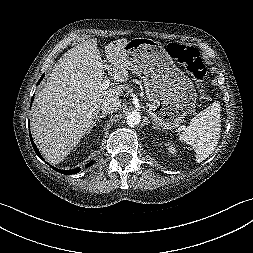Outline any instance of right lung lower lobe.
<instances>
[{
    "instance_id": "obj_1",
    "label": "right lung lower lobe",
    "mask_w": 253,
    "mask_h": 253,
    "mask_svg": "<svg viewBox=\"0 0 253 253\" xmlns=\"http://www.w3.org/2000/svg\"><path fill=\"white\" fill-rule=\"evenodd\" d=\"M43 77H44V75H42V77H41L40 80L38 81V84H39L40 81L43 79ZM33 99H34V97H32L31 103L33 102ZM30 140H31L32 146H33V148H34L36 154H37L42 160H44V159L42 158V156L40 155V152H39L38 148L36 147V145H35V143H34V141H33V139H32L31 133H30ZM92 163H93V162L89 163L88 166H90ZM51 167H52L54 170H56L57 172L62 173V174H66V175H68V174H75V173L81 171V168H80V167H78V168H76V169H73V170H61V169H57V168H55V167H53V166H51Z\"/></svg>"
}]
</instances>
